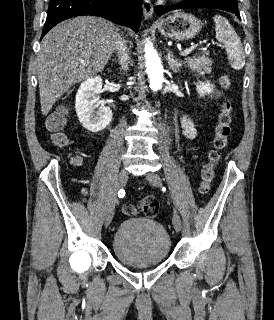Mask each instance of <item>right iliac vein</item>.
<instances>
[{
	"label": "right iliac vein",
	"mask_w": 274,
	"mask_h": 320,
	"mask_svg": "<svg viewBox=\"0 0 274 320\" xmlns=\"http://www.w3.org/2000/svg\"><path fill=\"white\" fill-rule=\"evenodd\" d=\"M127 180H128V172H127V170L122 169L117 177V185H116L117 190L123 188L126 185ZM116 201H117V197L115 194L111 198V201L108 204V207L106 210V214H105V225L106 226H108L113 219Z\"/></svg>",
	"instance_id": "63e3f726"
}]
</instances>
